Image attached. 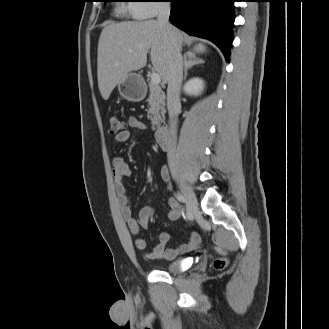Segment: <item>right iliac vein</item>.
<instances>
[{
	"label": "right iliac vein",
	"mask_w": 329,
	"mask_h": 329,
	"mask_svg": "<svg viewBox=\"0 0 329 329\" xmlns=\"http://www.w3.org/2000/svg\"><path fill=\"white\" fill-rule=\"evenodd\" d=\"M180 190L182 191L183 196L186 199L187 213L192 215L197 211L198 203L197 199L190 189V187L180 179H177Z\"/></svg>",
	"instance_id": "right-iliac-vein-1"
}]
</instances>
